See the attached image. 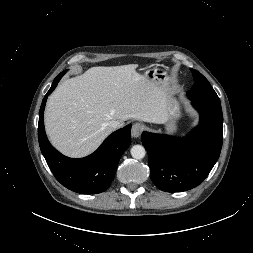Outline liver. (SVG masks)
I'll list each match as a JSON object with an SVG mask.
<instances>
[{"mask_svg": "<svg viewBox=\"0 0 253 253\" xmlns=\"http://www.w3.org/2000/svg\"><path fill=\"white\" fill-rule=\"evenodd\" d=\"M137 67H92L61 83L49 96L44 114L53 146L67 156L84 157L112 132L110 121L120 126L128 119L163 124L169 107L167 85L136 72Z\"/></svg>", "mask_w": 253, "mask_h": 253, "instance_id": "obj_1", "label": "liver"}]
</instances>
